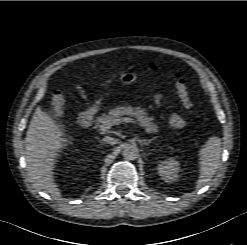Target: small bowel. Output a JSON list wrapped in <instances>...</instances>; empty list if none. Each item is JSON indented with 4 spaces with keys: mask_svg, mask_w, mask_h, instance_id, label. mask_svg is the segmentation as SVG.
I'll return each instance as SVG.
<instances>
[{
    "mask_svg": "<svg viewBox=\"0 0 247 245\" xmlns=\"http://www.w3.org/2000/svg\"><path fill=\"white\" fill-rule=\"evenodd\" d=\"M162 102V97H161V95H157L156 96V103L157 104H160Z\"/></svg>",
    "mask_w": 247,
    "mask_h": 245,
    "instance_id": "obj_1",
    "label": "small bowel"
}]
</instances>
